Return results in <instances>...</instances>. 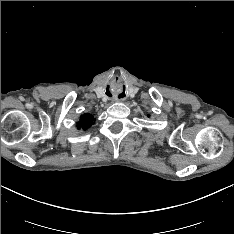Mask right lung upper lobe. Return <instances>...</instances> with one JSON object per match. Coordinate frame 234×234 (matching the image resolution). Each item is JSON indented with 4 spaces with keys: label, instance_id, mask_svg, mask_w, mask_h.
Wrapping results in <instances>:
<instances>
[{
    "label": "right lung upper lobe",
    "instance_id": "obj_1",
    "mask_svg": "<svg viewBox=\"0 0 234 234\" xmlns=\"http://www.w3.org/2000/svg\"><path fill=\"white\" fill-rule=\"evenodd\" d=\"M93 121H94V118L92 115L85 114L81 116L79 126H81L84 130H86L92 125Z\"/></svg>",
    "mask_w": 234,
    "mask_h": 234
}]
</instances>
